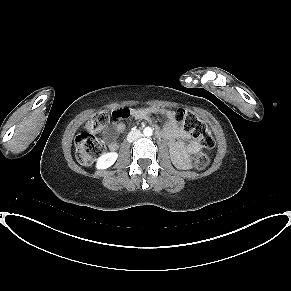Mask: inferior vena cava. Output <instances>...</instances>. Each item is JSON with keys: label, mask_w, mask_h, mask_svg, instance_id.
Here are the masks:
<instances>
[{"label": "inferior vena cava", "mask_w": 291, "mask_h": 291, "mask_svg": "<svg viewBox=\"0 0 291 291\" xmlns=\"http://www.w3.org/2000/svg\"><path fill=\"white\" fill-rule=\"evenodd\" d=\"M142 135V133L140 132V130H132L128 133L127 135V140L128 142H133L135 140H137L138 138H140Z\"/></svg>", "instance_id": "602c4592"}]
</instances>
